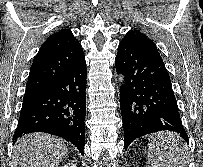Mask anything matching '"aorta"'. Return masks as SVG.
Here are the masks:
<instances>
[{
    "label": "aorta",
    "mask_w": 203,
    "mask_h": 167,
    "mask_svg": "<svg viewBox=\"0 0 203 167\" xmlns=\"http://www.w3.org/2000/svg\"><path fill=\"white\" fill-rule=\"evenodd\" d=\"M119 80H120L121 82L124 81V76H123L122 74H119Z\"/></svg>",
    "instance_id": "aorta-1"
}]
</instances>
